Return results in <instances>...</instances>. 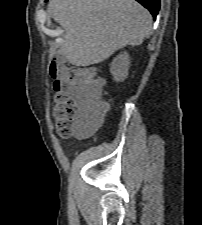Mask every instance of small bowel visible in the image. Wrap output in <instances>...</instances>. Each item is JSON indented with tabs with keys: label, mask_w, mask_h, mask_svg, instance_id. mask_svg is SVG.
I'll use <instances>...</instances> for the list:
<instances>
[{
	"label": "small bowel",
	"mask_w": 202,
	"mask_h": 225,
	"mask_svg": "<svg viewBox=\"0 0 202 225\" xmlns=\"http://www.w3.org/2000/svg\"><path fill=\"white\" fill-rule=\"evenodd\" d=\"M88 69H91V68L88 67ZM77 105H78V109H77L78 119L84 123L91 124L93 122V118L89 114L84 103L79 99V101L77 102Z\"/></svg>",
	"instance_id": "small-bowel-1"
}]
</instances>
